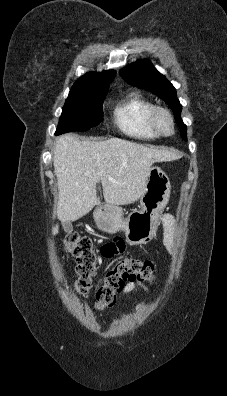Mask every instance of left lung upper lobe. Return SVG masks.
Returning <instances> with one entry per match:
<instances>
[{
    "instance_id": "left-lung-upper-lobe-1",
    "label": "left lung upper lobe",
    "mask_w": 227,
    "mask_h": 396,
    "mask_svg": "<svg viewBox=\"0 0 227 396\" xmlns=\"http://www.w3.org/2000/svg\"><path fill=\"white\" fill-rule=\"evenodd\" d=\"M125 81L139 88L150 90L164 100L174 112L182 138L186 141V125L180 118L182 106L177 99L176 89L160 74L149 60H141L127 65L120 71Z\"/></svg>"
}]
</instances>
